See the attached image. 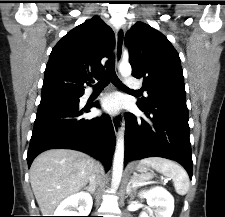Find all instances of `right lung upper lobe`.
Listing matches in <instances>:
<instances>
[{"label": "right lung upper lobe", "mask_w": 225, "mask_h": 217, "mask_svg": "<svg viewBox=\"0 0 225 217\" xmlns=\"http://www.w3.org/2000/svg\"><path fill=\"white\" fill-rule=\"evenodd\" d=\"M115 35L98 16L68 32L52 49L45 69L42 95L84 93L83 84L100 79V61L114 47Z\"/></svg>", "instance_id": "cb5924a9"}]
</instances>
